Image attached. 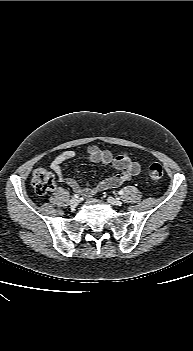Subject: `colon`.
Here are the masks:
<instances>
[{
	"mask_svg": "<svg viewBox=\"0 0 193 351\" xmlns=\"http://www.w3.org/2000/svg\"><path fill=\"white\" fill-rule=\"evenodd\" d=\"M148 177L153 181H158L163 177V166L158 163H152L147 170ZM31 183L36 193L45 195L55 188V179L53 175L43 168L34 170L31 176Z\"/></svg>",
	"mask_w": 193,
	"mask_h": 351,
	"instance_id": "5ec220e1",
	"label": "colon"
}]
</instances>
